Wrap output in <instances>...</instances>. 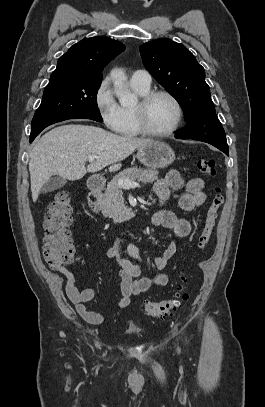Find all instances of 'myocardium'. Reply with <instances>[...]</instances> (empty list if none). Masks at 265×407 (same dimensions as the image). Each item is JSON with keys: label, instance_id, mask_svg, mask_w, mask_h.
<instances>
[{"label": "myocardium", "instance_id": "obj_1", "mask_svg": "<svg viewBox=\"0 0 265 407\" xmlns=\"http://www.w3.org/2000/svg\"><path fill=\"white\" fill-rule=\"evenodd\" d=\"M160 96L167 97L172 101L176 108V119L174 124L166 131L164 132H155L149 129L147 122H146V114H147V109L151 102ZM183 107L179 99L172 94L169 91L166 90H154V91H149L145 95H143L138 102V104L134 107V118H135V125L137 130L139 131L140 134L147 136V137H152V138H166L171 136L173 133L177 131L179 126L181 125V122L183 120Z\"/></svg>", "mask_w": 265, "mask_h": 407}]
</instances>
